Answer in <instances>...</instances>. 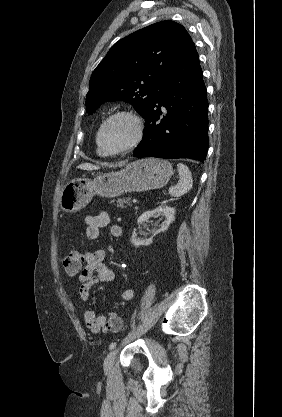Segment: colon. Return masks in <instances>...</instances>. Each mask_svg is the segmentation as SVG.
I'll return each mask as SVG.
<instances>
[{"instance_id":"obj_1","label":"colon","mask_w":282,"mask_h":417,"mask_svg":"<svg viewBox=\"0 0 282 417\" xmlns=\"http://www.w3.org/2000/svg\"><path fill=\"white\" fill-rule=\"evenodd\" d=\"M63 267L69 276H78L84 268L83 256L77 252L68 253L63 259ZM107 328L110 331H117L121 328V318L116 313H110L107 320Z\"/></svg>"}]
</instances>
